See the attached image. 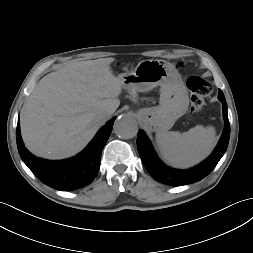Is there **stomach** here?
Instances as JSON below:
<instances>
[{"instance_id": "0dacf381", "label": "stomach", "mask_w": 253, "mask_h": 253, "mask_svg": "<svg viewBox=\"0 0 253 253\" xmlns=\"http://www.w3.org/2000/svg\"><path fill=\"white\" fill-rule=\"evenodd\" d=\"M118 77L130 91L146 92L160 86L159 106L139 111L140 120L152 131H168L188 109V91L175 66L167 61L142 60L131 72Z\"/></svg>"}]
</instances>
